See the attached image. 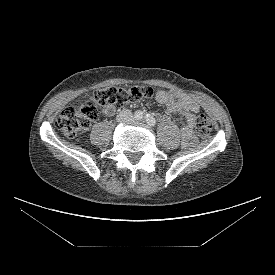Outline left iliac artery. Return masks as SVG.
Segmentation results:
<instances>
[{
  "mask_svg": "<svg viewBox=\"0 0 275 275\" xmlns=\"http://www.w3.org/2000/svg\"><path fill=\"white\" fill-rule=\"evenodd\" d=\"M144 118H145V121L148 123V125H150V126L156 125L155 118L153 116H151L150 114H146Z\"/></svg>",
  "mask_w": 275,
  "mask_h": 275,
  "instance_id": "1",
  "label": "left iliac artery"
}]
</instances>
